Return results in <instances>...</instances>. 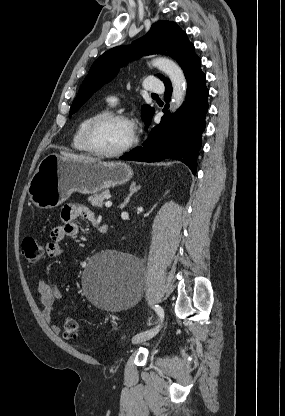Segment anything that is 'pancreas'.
Here are the masks:
<instances>
[{
  "mask_svg": "<svg viewBox=\"0 0 285 416\" xmlns=\"http://www.w3.org/2000/svg\"><path fill=\"white\" fill-rule=\"evenodd\" d=\"M107 196H109V190H105V192H101V194H94V196H90L88 198V202L95 206V208H102L104 204V200H108Z\"/></svg>",
  "mask_w": 285,
  "mask_h": 416,
  "instance_id": "cf45deb5",
  "label": "pancreas"
}]
</instances>
